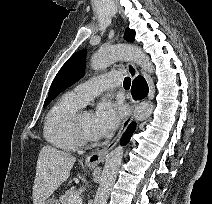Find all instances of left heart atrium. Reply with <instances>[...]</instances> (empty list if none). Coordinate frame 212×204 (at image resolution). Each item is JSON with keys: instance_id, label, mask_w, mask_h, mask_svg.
Wrapping results in <instances>:
<instances>
[{"instance_id": "left-heart-atrium-1", "label": "left heart atrium", "mask_w": 212, "mask_h": 204, "mask_svg": "<svg viewBox=\"0 0 212 204\" xmlns=\"http://www.w3.org/2000/svg\"><path fill=\"white\" fill-rule=\"evenodd\" d=\"M123 111L119 104L111 100L100 102L93 114L92 135L100 139L111 134L119 125Z\"/></svg>"}]
</instances>
